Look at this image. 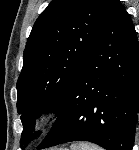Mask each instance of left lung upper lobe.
I'll return each mask as SVG.
<instances>
[{"instance_id":"left-lung-upper-lobe-1","label":"left lung upper lobe","mask_w":139,"mask_h":150,"mask_svg":"<svg viewBox=\"0 0 139 150\" xmlns=\"http://www.w3.org/2000/svg\"><path fill=\"white\" fill-rule=\"evenodd\" d=\"M115 0H52L27 40L17 81L22 143L34 138V122L57 111L99 37ZM39 135V132L37 133Z\"/></svg>"}]
</instances>
